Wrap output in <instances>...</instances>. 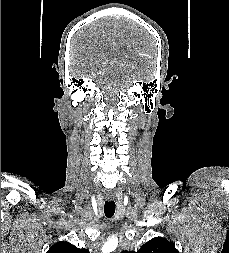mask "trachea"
Here are the masks:
<instances>
[{
  "mask_svg": "<svg viewBox=\"0 0 229 253\" xmlns=\"http://www.w3.org/2000/svg\"><path fill=\"white\" fill-rule=\"evenodd\" d=\"M104 213L106 217L110 218L115 213V202L114 201H106L104 205Z\"/></svg>",
  "mask_w": 229,
  "mask_h": 253,
  "instance_id": "3493384b",
  "label": "trachea"
}]
</instances>
